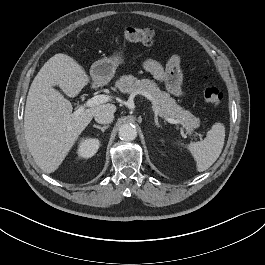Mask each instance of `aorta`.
I'll use <instances>...</instances> for the list:
<instances>
[{
    "label": "aorta",
    "instance_id": "1",
    "mask_svg": "<svg viewBox=\"0 0 265 265\" xmlns=\"http://www.w3.org/2000/svg\"><path fill=\"white\" fill-rule=\"evenodd\" d=\"M119 137L123 141H132L137 136V131L134 125L132 124H123L119 128Z\"/></svg>",
    "mask_w": 265,
    "mask_h": 265
}]
</instances>
